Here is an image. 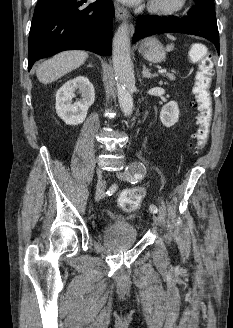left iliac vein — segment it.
<instances>
[{
  "label": "left iliac vein",
  "mask_w": 233,
  "mask_h": 328,
  "mask_svg": "<svg viewBox=\"0 0 233 328\" xmlns=\"http://www.w3.org/2000/svg\"><path fill=\"white\" fill-rule=\"evenodd\" d=\"M136 168L134 165H130L129 169L125 172H117V177L124 181H131L133 179V174L135 172ZM153 220L156 223L157 222V216L153 215Z\"/></svg>",
  "instance_id": "obj_1"
}]
</instances>
